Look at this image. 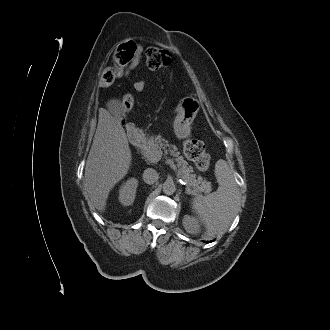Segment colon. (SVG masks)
Listing matches in <instances>:
<instances>
[{"label":"colon","mask_w":330,"mask_h":330,"mask_svg":"<svg viewBox=\"0 0 330 330\" xmlns=\"http://www.w3.org/2000/svg\"><path fill=\"white\" fill-rule=\"evenodd\" d=\"M135 54V43L127 42L120 45L113 54L112 64L105 67L100 76L102 86H108L117 78L120 69L126 67L133 59ZM146 65L149 69L155 70L166 67L171 62V55L167 50L151 47L145 52ZM122 107L130 111L134 105V97L130 93L124 94L120 99ZM184 153L192 160L200 171L209 168L210 157L206 152L205 145L202 141L189 139L183 144Z\"/></svg>","instance_id":"colon-1"}]
</instances>
